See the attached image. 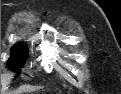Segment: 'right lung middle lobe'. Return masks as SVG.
I'll return each instance as SVG.
<instances>
[{"label": "right lung middle lobe", "mask_w": 121, "mask_h": 94, "mask_svg": "<svg viewBox=\"0 0 121 94\" xmlns=\"http://www.w3.org/2000/svg\"><path fill=\"white\" fill-rule=\"evenodd\" d=\"M11 53L12 55L8 60V65L14 71L19 72L28 57V52L23 44H16L12 48Z\"/></svg>", "instance_id": "1"}]
</instances>
